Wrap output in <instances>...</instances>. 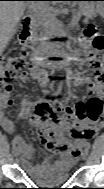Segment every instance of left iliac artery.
I'll return each mask as SVG.
<instances>
[{"label":"left iliac artery","instance_id":"obj_1","mask_svg":"<svg viewBox=\"0 0 104 189\" xmlns=\"http://www.w3.org/2000/svg\"><path fill=\"white\" fill-rule=\"evenodd\" d=\"M89 149H90V144L87 143V144H86V150H89Z\"/></svg>","mask_w":104,"mask_h":189}]
</instances>
